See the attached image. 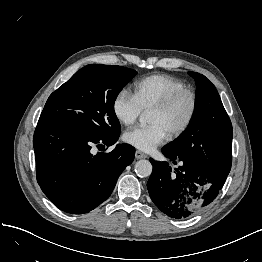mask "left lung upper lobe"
<instances>
[{
    "label": "left lung upper lobe",
    "instance_id": "5c2ea615",
    "mask_svg": "<svg viewBox=\"0 0 262 262\" xmlns=\"http://www.w3.org/2000/svg\"><path fill=\"white\" fill-rule=\"evenodd\" d=\"M195 79V109L187 129L162 149L207 169H218L231 157L232 124L220 96L204 75L188 72Z\"/></svg>",
    "mask_w": 262,
    "mask_h": 262
}]
</instances>
